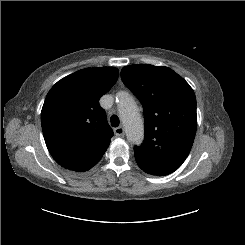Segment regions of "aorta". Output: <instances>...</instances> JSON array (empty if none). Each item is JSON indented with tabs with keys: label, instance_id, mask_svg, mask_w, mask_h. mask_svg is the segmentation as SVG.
<instances>
[{
	"label": "aorta",
	"instance_id": "aorta-1",
	"mask_svg": "<svg viewBox=\"0 0 245 245\" xmlns=\"http://www.w3.org/2000/svg\"><path fill=\"white\" fill-rule=\"evenodd\" d=\"M118 111L128 141L140 144L144 138L143 121L135 101L126 92L118 94Z\"/></svg>",
	"mask_w": 245,
	"mask_h": 245
}]
</instances>
